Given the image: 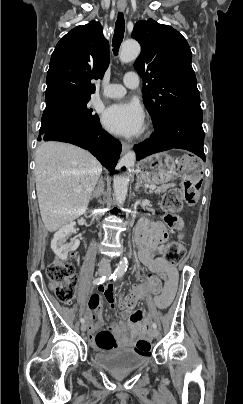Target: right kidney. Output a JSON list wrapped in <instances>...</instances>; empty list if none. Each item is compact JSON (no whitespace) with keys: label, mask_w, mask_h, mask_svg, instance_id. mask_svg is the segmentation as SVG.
I'll return each instance as SVG.
<instances>
[{"label":"right kidney","mask_w":243,"mask_h":404,"mask_svg":"<svg viewBox=\"0 0 243 404\" xmlns=\"http://www.w3.org/2000/svg\"><path fill=\"white\" fill-rule=\"evenodd\" d=\"M75 226V222H71V224L63 226L61 230L55 232L54 238L51 240V250H53L54 254H56L60 260H67L69 252H75V250H77V248L80 246L77 236L72 238L70 242H67L68 238H70L72 234H76L77 230Z\"/></svg>","instance_id":"obj_1"}]
</instances>
